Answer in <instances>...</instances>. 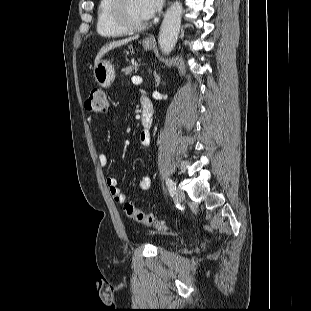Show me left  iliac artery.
Masks as SVG:
<instances>
[{"label":"left iliac artery","mask_w":311,"mask_h":311,"mask_svg":"<svg viewBox=\"0 0 311 311\" xmlns=\"http://www.w3.org/2000/svg\"><path fill=\"white\" fill-rule=\"evenodd\" d=\"M166 185L168 187V190H169L170 194L173 196L175 194V191H176L175 183L172 181V179L167 178L166 179Z\"/></svg>","instance_id":"left-iliac-artery-1"}]
</instances>
